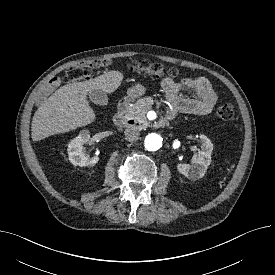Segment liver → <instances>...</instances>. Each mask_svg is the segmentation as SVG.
<instances>
[{"instance_id": "1", "label": "liver", "mask_w": 275, "mask_h": 275, "mask_svg": "<svg viewBox=\"0 0 275 275\" xmlns=\"http://www.w3.org/2000/svg\"><path fill=\"white\" fill-rule=\"evenodd\" d=\"M123 78L121 72L112 70L85 82L60 87L35 112L31 126L33 141L94 122L96 115L87 95L93 90L113 93L121 85Z\"/></svg>"}]
</instances>
